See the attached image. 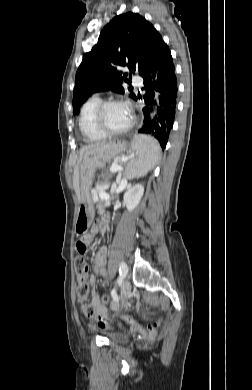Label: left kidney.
<instances>
[{
	"label": "left kidney",
	"mask_w": 252,
	"mask_h": 390,
	"mask_svg": "<svg viewBox=\"0 0 252 390\" xmlns=\"http://www.w3.org/2000/svg\"><path fill=\"white\" fill-rule=\"evenodd\" d=\"M144 193V187L141 184H136L125 192L124 194V203L127 209L131 212L139 204Z\"/></svg>",
	"instance_id": "obj_1"
}]
</instances>
